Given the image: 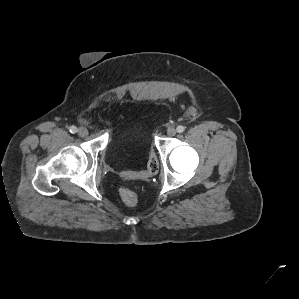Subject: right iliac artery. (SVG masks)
Here are the masks:
<instances>
[{
  "label": "right iliac artery",
  "instance_id": "right-iliac-artery-1",
  "mask_svg": "<svg viewBox=\"0 0 299 299\" xmlns=\"http://www.w3.org/2000/svg\"><path fill=\"white\" fill-rule=\"evenodd\" d=\"M69 131H70L71 133H76V132H77V127H76V126H71V127L69 128Z\"/></svg>",
  "mask_w": 299,
  "mask_h": 299
}]
</instances>
